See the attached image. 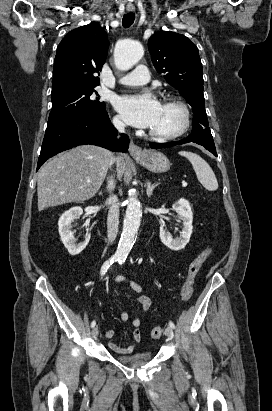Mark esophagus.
Returning a JSON list of instances; mask_svg holds the SVG:
<instances>
[{
	"mask_svg": "<svg viewBox=\"0 0 272 411\" xmlns=\"http://www.w3.org/2000/svg\"><path fill=\"white\" fill-rule=\"evenodd\" d=\"M126 10H127V12H134L135 8H134V6H127ZM129 152L134 157L135 156H143L142 149L133 142H130V144H129Z\"/></svg>",
	"mask_w": 272,
	"mask_h": 411,
	"instance_id": "1",
	"label": "esophagus"
}]
</instances>
